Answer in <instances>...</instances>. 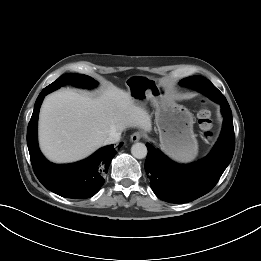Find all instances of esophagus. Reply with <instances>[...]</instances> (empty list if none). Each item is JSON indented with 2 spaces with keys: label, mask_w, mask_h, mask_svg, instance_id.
Wrapping results in <instances>:
<instances>
[{
  "label": "esophagus",
  "mask_w": 261,
  "mask_h": 261,
  "mask_svg": "<svg viewBox=\"0 0 261 261\" xmlns=\"http://www.w3.org/2000/svg\"><path fill=\"white\" fill-rule=\"evenodd\" d=\"M142 138V133L141 132H134L132 135H131V138L130 140L132 142H138L140 141Z\"/></svg>",
  "instance_id": "1"
}]
</instances>
